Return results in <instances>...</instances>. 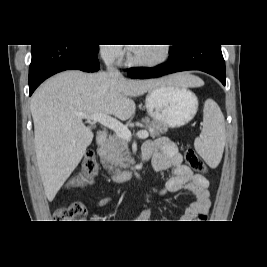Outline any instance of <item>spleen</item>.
Masks as SVG:
<instances>
[{"mask_svg": "<svg viewBox=\"0 0 267 267\" xmlns=\"http://www.w3.org/2000/svg\"><path fill=\"white\" fill-rule=\"evenodd\" d=\"M194 145L198 154L210 167L218 166L225 145V121L217 105L205 109L203 129Z\"/></svg>", "mask_w": 267, "mask_h": 267, "instance_id": "3e777b00", "label": "spleen"}]
</instances>
